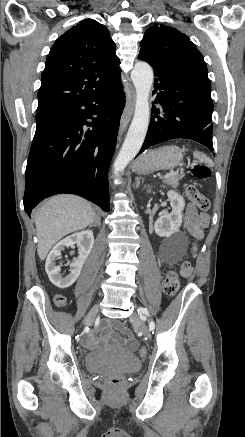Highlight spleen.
Here are the masks:
<instances>
[{"label": "spleen", "instance_id": "spleen-1", "mask_svg": "<svg viewBox=\"0 0 245 437\" xmlns=\"http://www.w3.org/2000/svg\"><path fill=\"white\" fill-rule=\"evenodd\" d=\"M194 157L198 158L201 161H206L207 160V156L205 154H203L202 152H199V151H194Z\"/></svg>", "mask_w": 245, "mask_h": 437}]
</instances>
